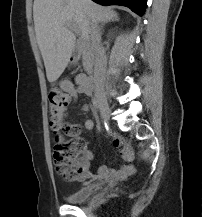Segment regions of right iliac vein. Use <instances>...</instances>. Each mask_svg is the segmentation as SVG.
Returning a JSON list of instances; mask_svg holds the SVG:
<instances>
[{
    "instance_id": "obj_1",
    "label": "right iliac vein",
    "mask_w": 202,
    "mask_h": 217,
    "mask_svg": "<svg viewBox=\"0 0 202 217\" xmlns=\"http://www.w3.org/2000/svg\"><path fill=\"white\" fill-rule=\"evenodd\" d=\"M96 100L98 102L103 121L108 122L110 118V110H109L107 99L103 94L99 93L96 95Z\"/></svg>"
}]
</instances>
